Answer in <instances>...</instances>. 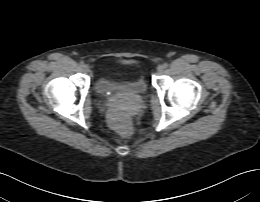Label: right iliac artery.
I'll use <instances>...</instances> for the list:
<instances>
[{
	"label": "right iliac artery",
	"mask_w": 260,
	"mask_h": 202,
	"mask_svg": "<svg viewBox=\"0 0 260 202\" xmlns=\"http://www.w3.org/2000/svg\"><path fill=\"white\" fill-rule=\"evenodd\" d=\"M79 65H80L81 67H83V66H84V62L81 61V62L79 63Z\"/></svg>",
	"instance_id": "82829eb1"
}]
</instances>
